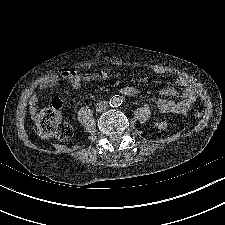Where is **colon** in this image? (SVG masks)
<instances>
[{
    "instance_id": "5ec220e1",
    "label": "colon",
    "mask_w": 225,
    "mask_h": 225,
    "mask_svg": "<svg viewBox=\"0 0 225 225\" xmlns=\"http://www.w3.org/2000/svg\"><path fill=\"white\" fill-rule=\"evenodd\" d=\"M73 73L63 71L61 77H70ZM104 73L102 75H106ZM36 127L43 136H54L60 140H68L73 134L72 126L63 120L62 103L56 99L51 106L41 111L36 117ZM157 129L163 130L167 127L166 121H160L156 124Z\"/></svg>"
}]
</instances>
